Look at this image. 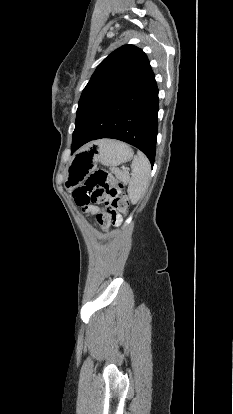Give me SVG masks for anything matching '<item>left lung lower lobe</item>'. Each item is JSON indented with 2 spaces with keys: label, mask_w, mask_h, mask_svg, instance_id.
I'll use <instances>...</instances> for the list:
<instances>
[{
  "label": "left lung lower lobe",
  "mask_w": 233,
  "mask_h": 414,
  "mask_svg": "<svg viewBox=\"0 0 233 414\" xmlns=\"http://www.w3.org/2000/svg\"><path fill=\"white\" fill-rule=\"evenodd\" d=\"M158 88L152 70L126 89L103 98L76 118L72 153L85 143L113 138L140 149L154 164Z\"/></svg>",
  "instance_id": "left-lung-lower-lobe-1"
}]
</instances>
